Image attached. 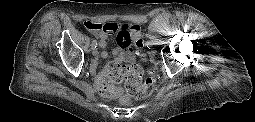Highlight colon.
<instances>
[{
    "label": "colon",
    "instance_id": "obj_1",
    "mask_svg": "<svg viewBox=\"0 0 255 122\" xmlns=\"http://www.w3.org/2000/svg\"><path fill=\"white\" fill-rule=\"evenodd\" d=\"M84 27L91 32H104L111 34L118 32L125 43L142 49L144 46L141 28L138 25L117 24L113 22L99 23L93 21L84 22ZM125 82L126 93L119 91L116 84ZM154 75L152 72L143 79L142 68L138 65H122L114 62L109 64L98 79L99 91L102 95L117 96L120 103L130 106L134 98L141 99L149 96L154 89Z\"/></svg>",
    "mask_w": 255,
    "mask_h": 122
}]
</instances>
